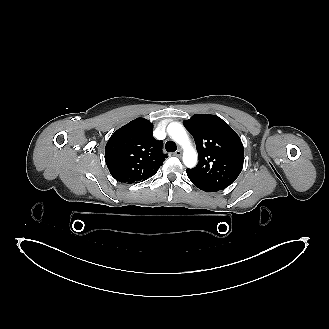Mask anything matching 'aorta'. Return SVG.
<instances>
[{
    "instance_id": "obj_1",
    "label": "aorta",
    "mask_w": 329,
    "mask_h": 329,
    "mask_svg": "<svg viewBox=\"0 0 329 329\" xmlns=\"http://www.w3.org/2000/svg\"><path fill=\"white\" fill-rule=\"evenodd\" d=\"M167 131L170 137L178 143L183 149V163L188 168L195 167L197 164V153L192 147L191 140L183 125L172 122L168 125Z\"/></svg>"
}]
</instances>
